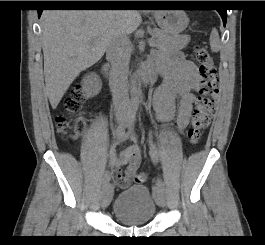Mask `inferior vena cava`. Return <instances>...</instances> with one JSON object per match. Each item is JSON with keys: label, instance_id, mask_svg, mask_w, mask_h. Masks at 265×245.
<instances>
[{"label": "inferior vena cava", "instance_id": "inferior-vena-cava-1", "mask_svg": "<svg viewBox=\"0 0 265 245\" xmlns=\"http://www.w3.org/2000/svg\"><path fill=\"white\" fill-rule=\"evenodd\" d=\"M106 54L112 65L114 109L117 115H125L130 106L127 79L131 52L127 35L121 33L111 35Z\"/></svg>", "mask_w": 265, "mask_h": 245}]
</instances>
